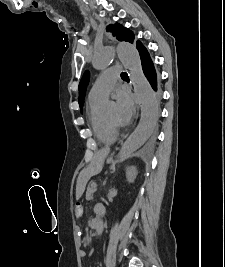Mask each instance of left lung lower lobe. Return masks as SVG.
Returning <instances> with one entry per match:
<instances>
[{"label":"left lung lower lobe","mask_w":225,"mask_h":267,"mask_svg":"<svg viewBox=\"0 0 225 267\" xmlns=\"http://www.w3.org/2000/svg\"><path fill=\"white\" fill-rule=\"evenodd\" d=\"M136 47H137V50H138L139 55H140L143 73H144L145 77L147 78V80L149 81L153 90L156 92L157 99L159 100L160 99V92H161L160 91V82H159V78L157 76L156 70L154 68L153 62L150 58V55H149L147 49L145 48V46L140 41H137Z\"/></svg>","instance_id":"0a47b994"}]
</instances>
